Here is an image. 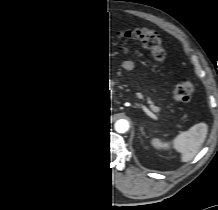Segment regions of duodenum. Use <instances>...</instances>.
<instances>
[{"mask_svg": "<svg viewBox=\"0 0 218 210\" xmlns=\"http://www.w3.org/2000/svg\"><path fill=\"white\" fill-rule=\"evenodd\" d=\"M89 92L87 89L78 92L71 101V109L74 115H77L83 104L87 101Z\"/></svg>", "mask_w": 218, "mask_h": 210, "instance_id": "410a0bca", "label": "duodenum"}]
</instances>
